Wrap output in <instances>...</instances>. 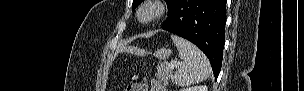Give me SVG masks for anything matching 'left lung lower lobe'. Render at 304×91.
<instances>
[{
    "mask_svg": "<svg viewBox=\"0 0 304 91\" xmlns=\"http://www.w3.org/2000/svg\"><path fill=\"white\" fill-rule=\"evenodd\" d=\"M226 0H178L162 29L198 46L218 77L225 43Z\"/></svg>",
    "mask_w": 304,
    "mask_h": 91,
    "instance_id": "1",
    "label": "left lung lower lobe"
}]
</instances>
